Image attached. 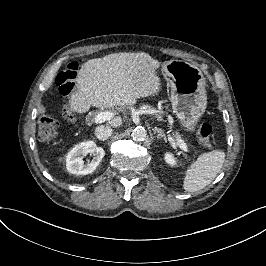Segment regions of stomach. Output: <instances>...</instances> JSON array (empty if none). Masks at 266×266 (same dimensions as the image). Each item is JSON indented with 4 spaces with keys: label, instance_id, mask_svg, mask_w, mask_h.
<instances>
[{
    "label": "stomach",
    "instance_id": "1",
    "mask_svg": "<svg viewBox=\"0 0 266 266\" xmlns=\"http://www.w3.org/2000/svg\"><path fill=\"white\" fill-rule=\"evenodd\" d=\"M161 74L171 88L173 112L186 130L194 132L207 105L203 73L190 63L170 60L162 64Z\"/></svg>",
    "mask_w": 266,
    "mask_h": 266
}]
</instances>
